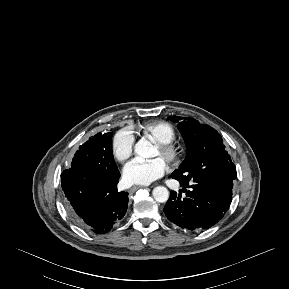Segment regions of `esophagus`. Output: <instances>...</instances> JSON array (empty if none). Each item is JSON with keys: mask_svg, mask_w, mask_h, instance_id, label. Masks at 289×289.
<instances>
[{"mask_svg": "<svg viewBox=\"0 0 289 289\" xmlns=\"http://www.w3.org/2000/svg\"><path fill=\"white\" fill-rule=\"evenodd\" d=\"M140 188H143L142 186H133L130 188V191L131 192H135L136 190L140 189Z\"/></svg>", "mask_w": 289, "mask_h": 289, "instance_id": "obj_1", "label": "esophagus"}]
</instances>
